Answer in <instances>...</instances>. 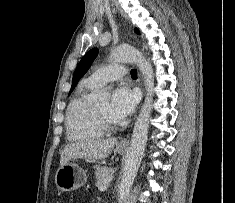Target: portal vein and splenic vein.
I'll use <instances>...</instances> for the list:
<instances>
[{
	"label": "portal vein and splenic vein",
	"instance_id": "18ae733b",
	"mask_svg": "<svg viewBox=\"0 0 235 203\" xmlns=\"http://www.w3.org/2000/svg\"><path fill=\"white\" fill-rule=\"evenodd\" d=\"M107 188H108V185H107V184H104V185H102V186L99 187V191H100V192H103V191H105Z\"/></svg>",
	"mask_w": 235,
	"mask_h": 203
}]
</instances>
